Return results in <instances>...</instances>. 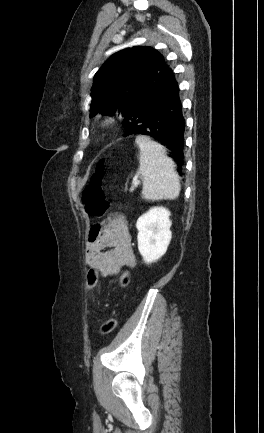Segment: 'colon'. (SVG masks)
<instances>
[{"mask_svg":"<svg viewBox=\"0 0 264 433\" xmlns=\"http://www.w3.org/2000/svg\"><path fill=\"white\" fill-rule=\"evenodd\" d=\"M105 160H99L91 173L88 183L83 191V201L87 211L94 217H102L109 208V203L103 192L102 184L105 175ZM98 272L95 269H90L86 276V288L92 290L98 282ZM130 283V275L127 271H123L119 276V284L121 287H127ZM117 326V319L111 316L106 319L100 328L101 334H109Z\"/></svg>","mask_w":264,"mask_h":433,"instance_id":"colon-1","label":"colon"}]
</instances>
